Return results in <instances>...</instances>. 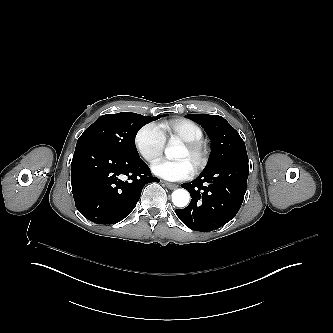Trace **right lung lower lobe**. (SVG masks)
Listing matches in <instances>:
<instances>
[{"mask_svg":"<svg viewBox=\"0 0 333 333\" xmlns=\"http://www.w3.org/2000/svg\"><path fill=\"white\" fill-rule=\"evenodd\" d=\"M150 182L159 179L140 157L118 155L96 142L76 145L71 162L72 193L76 208L87 219L97 224L120 222Z\"/></svg>","mask_w":333,"mask_h":333,"instance_id":"obj_1","label":"right lung lower lobe"}]
</instances>
